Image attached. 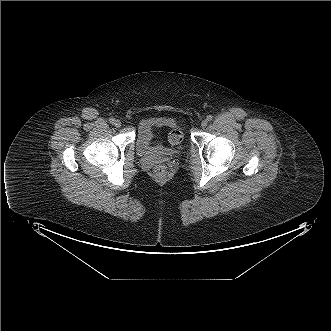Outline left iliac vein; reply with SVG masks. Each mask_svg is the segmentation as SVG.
I'll return each instance as SVG.
<instances>
[{"label":"left iliac vein","mask_w":331,"mask_h":331,"mask_svg":"<svg viewBox=\"0 0 331 331\" xmlns=\"http://www.w3.org/2000/svg\"><path fill=\"white\" fill-rule=\"evenodd\" d=\"M207 125H208V121H207V120H203V121L201 122V127H202V128H205Z\"/></svg>","instance_id":"obj_1"}]
</instances>
